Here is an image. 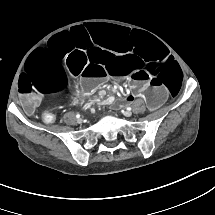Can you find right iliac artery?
I'll return each mask as SVG.
<instances>
[{"label": "right iliac artery", "instance_id": "right-iliac-artery-1", "mask_svg": "<svg viewBox=\"0 0 215 215\" xmlns=\"http://www.w3.org/2000/svg\"><path fill=\"white\" fill-rule=\"evenodd\" d=\"M76 117H77V118H80V115H79V114H77V115H76Z\"/></svg>", "mask_w": 215, "mask_h": 215}]
</instances>
